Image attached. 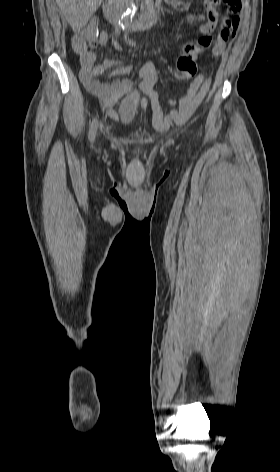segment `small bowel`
<instances>
[{
	"label": "small bowel",
	"instance_id": "obj_1",
	"mask_svg": "<svg viewBox=\"0 0 280 472\" xmlns=\"http://www.w3.org/2000/svg\"><path fill=\"white\" fill-rule=\"evenodd\" d=\"M210 1L204 0L206 10L203 13L188 14L186 16L189 22H198L200 24L201 36L197 41L189 42L184 46L183 55L180 57L182 60L194 62L199 54L209 48H211L213 57H219L225 50L228 40L236 35L239 23L231 25L224 22L218 37L214 38L218 13L215 5ZM107 40V33L102 32L99 37V44L104 45L107 43ZM72 44L80 58V79L83 85L99 100L102 106L108 109L109 115L114 117L113 105L120 97L132 90L134 82L129 79H119L108 83L98 80L97 77L107 72H109V77L125 75L132 72L133 67L123 65L116 60H105L100 64H96L95 53L88 49L81 37L74 36ZM136 80L141 81V89L151 101L155 125L161 129L167 128L172 122H183L188 119L202 103L212 83L211 77H204L202 74L195 75L186 95L178 101H171L170 104L173 108L165 115L159 95L153 88L157 80V70L154 63L151 61L146 62L137 71Z\"/></svg>",
	"mask_w": 280,
	"mask_h": 472
}]
</instances>
